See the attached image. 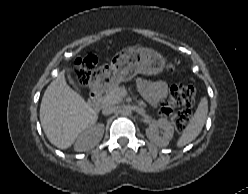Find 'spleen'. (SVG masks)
I'll use <instances>...</instances> for the list:
<instances>
[{"label":"spleen","instance_id":"spleen-1","mask_svg":"<svg viewBox=\"0 0 248 194\" xmlns=\"http://www.w3.org/2000/svg\"><path fill=\"white\" fill-rule=\"evenodd\" d=\"M207 113L208 101L206 97H202L198 104L196 112L190 119L188 126L183 131L181 137L177 141L178 147H183L197 138V136L202 131V128L207 118Z\"/></svg>","mask_w":248,"mask_h":194}]
</instances>
